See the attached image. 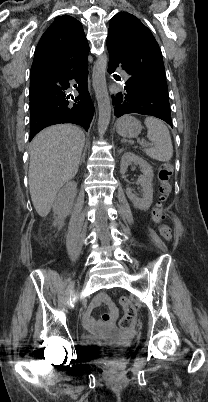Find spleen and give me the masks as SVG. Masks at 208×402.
<instances>
[{"label": "spleen", "instance_id": "1", "mask_svg": "<svg viewBox=\"0 0 208 402\" xmlns=\"http://www.w3.org/2000/svg\"><path fill=\"white\" fill-rule=\"evenodd\" d=\"M148 140L154 144L152 148H145L144 152L158 162H169L173 156V146L169 130L158 118H145Z\"/></svg>", "mask_w": 208, "mask_h": 402}]
</instances>
